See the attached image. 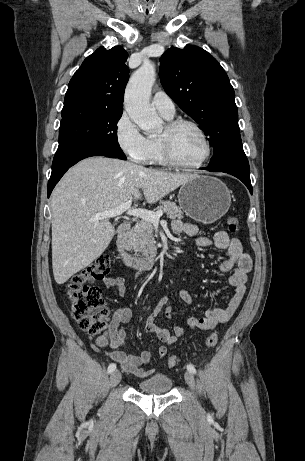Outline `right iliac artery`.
Segmentation results:
<instances>
[{"mask_svg":"<svg viewBox=\"0 0 305 461\" xmlns=\"http://www.w3.org/2000/svg\"><path fill=\"white\" fill-rule=\"evenodd\" d=\"M116 369V364L115 363H111L109 366H108V373H112L113 371H115Z\"/></svg>","mask_w":305,"mask_h":461,"instance_id":"right-iliac-artery-1","label":"right iliac artery"}]
</instances>
